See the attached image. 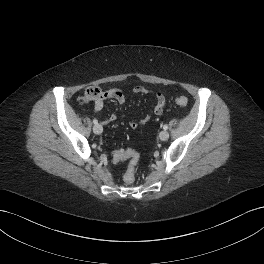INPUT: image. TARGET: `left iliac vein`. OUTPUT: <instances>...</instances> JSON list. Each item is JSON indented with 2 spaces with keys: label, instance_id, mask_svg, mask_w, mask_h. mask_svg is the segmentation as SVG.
Segmentation results:
<instances>
[{
  "label": "left iliac vein",
  "instance_id": "4c4485c4",
  "mask_svg": "<svg viewBox=\"0 0 264 264\" xmlns=\"http://www.w3.org/2000/svg\"><path fill=\"white\" fill-rule=\"evenodd\" d=\"M159 138L162 140V141H166L168 138H169V133L167 131H161L160 134H159Z\"/></svg>",
  "mask_w": 264,
  "mask_h": 264
}]
</instances>
